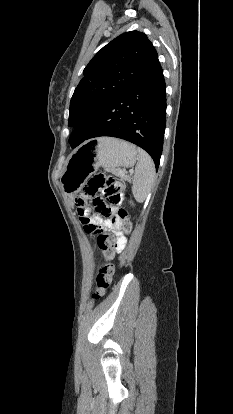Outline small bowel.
I'll return each instance as SVG.
<instances>
[{"label":"small bowel","instance_id":"small-bowel-1","mask_svg":"<svg viewBox=\"0 0 233 414\" xmlns=\"http://www.w3.org/2000/svg\"><path fill=\"white\" fill-rule=\"evenodd\" d=\"M84 210H85L84 212L87 215V224L88 225H92L94 227L100 226V227H103V228L109 230L110 232H112L116 236L119 248H122L124 246L125 238L123 236V232H124L123 223H122V220L116 215L115 208L111 209V216L109 217V219H106V220H104L103 217L98 213L90 214L91 211L87 206L84 208ZM78 214H79L80 219H81V217H83V216H82V214L80 213L79 210H78ZM81 222H82V220H81Z\"/></svg>","mask_w":233,"mask_h":414}]
</instances>
